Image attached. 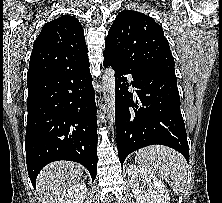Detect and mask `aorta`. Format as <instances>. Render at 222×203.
<instances>
[{
  "mask_svg": "<svg viewBox=\"0 0 222 203\" xmlns=\"http://www.w3.org/2000/svg\"><path fill=\"white\" fill-rule=\"evenodd\" d=\"M103 97L108 110L109 127L114 129L115 124V71L108 67L102 77Z\"/></svg>",
  "mask_w": 222,
  "mask_h": 203,
  "instance_id": "aorta-1",
  "label": "aorta"
}]
</instances>
